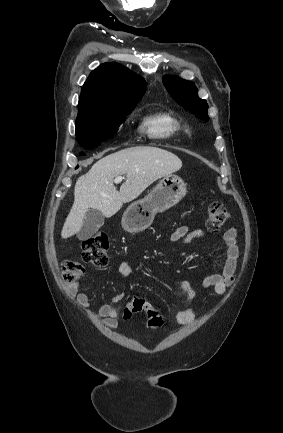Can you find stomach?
<instances>
[{
    "instance_id": "0dacf381",
    "label": "stomach",
    "mask_w": 283,
    "mask_h": 433,
    "mask_svg": "<svg viewBox=\"0 0 283 433\" xmlns=\"http://www.w3.org/2000/svg\"><path fill=\"white\" fill-rule=\"evenodd\" d=\"M186 192L187 188L183 178L177 174H166L147 196L141 200H135L126 208L123 214L126 231L136 233L140 227L153 221L156 212H163L177 204Z\"/></svg>"
}]
</instances>
